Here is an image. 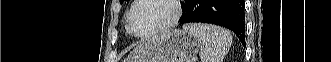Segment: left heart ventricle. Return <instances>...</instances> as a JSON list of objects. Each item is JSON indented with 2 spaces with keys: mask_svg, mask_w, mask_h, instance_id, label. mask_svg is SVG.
<instances>
[{
  "mask_svg": "<svg viewBox=\"0 0 331 62\" xmlns=\"http://www.w3.org/2000/svg\"><path fill=\"white\" fill-rule=\"evenodd\" d=\"M174 9L167 0H144L133 11L132 26L137 33H147L164 25Z\"/></svg>",
  "mask_w": 331,
  "mask_h": 62,
  "instance_id": "1",
  "label": "left heart ventricle"
}]
</instances>
